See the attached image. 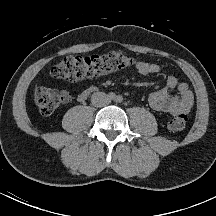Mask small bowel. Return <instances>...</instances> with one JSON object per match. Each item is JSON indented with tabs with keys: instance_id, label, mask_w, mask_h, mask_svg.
Wrapping results in <instances>:
<instances>
[{
	"instance_id": "small-bowel-1",
	"label": "small bowel",
	"mask_w": 216,
	"mask_h": 216,
	"mask_svg": "<svg viewBox=\"0 0 216 216\" xmlns=\"http://www.w3.org/2000/svg\"><path fill=\"white\" fill-rule=\"evenodd\" d=\"M136 68L142 75L167 73L168 70L156 63L140 61ZM178 91V95L173 94ZM90 93V89H83L78 99L84 101ZM149 106L158 112L171 115L186 114L191 111L194 105V95L187 82H181L173 74H168L166 86L148 95Z\"/></svg>"
}]
</instances>
